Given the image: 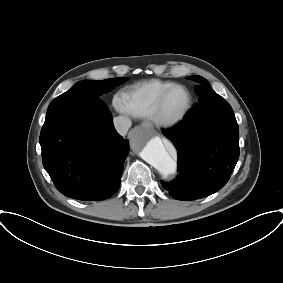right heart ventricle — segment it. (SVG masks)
Masks as SVG:
<instances>
[{
    "mask_svg": "<svg viewBox=\"0 0 283 283\" xmlns=\"http://www.w3.org/2000/svg\"><path fill=\"white\" fill-rule=\"evenodd\" d=\"M170 81L151 79L135 85L123 93L122 102L132 116L136 118H149L155 108L160 94L172 86Z\"/></svg>",
    "mask_w": 283,
    "mask_h": 283,
    "instance_id": "right-heart-ventricle-1",
    "label": "right heart ventricle"
}]
</instances>
